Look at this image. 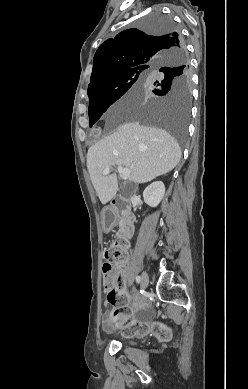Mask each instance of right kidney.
I'll use <instances>...</instances> for the list:
<instances>
[{
  "instance_id": "1",
  "label": "right kidney",
  "mask_w": 248,
  "mask_h": 389,
  "mask_svg": "<svg viewBox=\"0 0 248 389\" xmlns=\"http://www.w3.org/2000/svg\"><path fill=\"white\" fill-rule=\"evenodd\" d=\"M165 194V186L162 181L150 184L143 192L145 203L151 207H157Z\"/></svg>"
}]
</instances>
